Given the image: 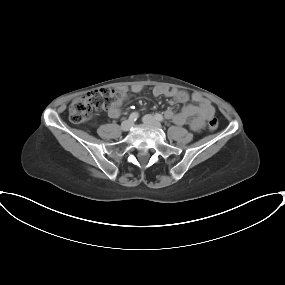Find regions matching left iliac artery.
I'll return each mask as SVG.
<instances>
[{
	"label": "left iliac artery",
	"mask_w": 285,
	"mask_h": 285,
	"mask_svg": "<svg viewBox=\"0 0 285 285\" xmlns=\"http://www.w3.org/2000/svg\"><path fill=\"white\" fill-rule=\"evenodd\" d=\"M155 119L156 120H158V121H160V122H163L164 121V118H163V116L161 115V114H155Z\"/></svg>",
	"instance_id": "44dca946"
}]
</instances>
